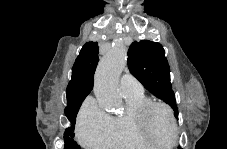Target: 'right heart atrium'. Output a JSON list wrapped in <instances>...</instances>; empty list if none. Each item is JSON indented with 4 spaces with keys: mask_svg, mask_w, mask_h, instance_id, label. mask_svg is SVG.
Masks as SVG:
<instances>
[{
    "mask_svg": "<svg viewBox=\"0 0 227 149\" xmlns=\"http://www.w3.org/2000/svg\"><path fill=\"white\" fill-rule=\"evenodd\" d=\"M111 117L94 98L84 101L76 123L80 143L88 149H100L108 145Z\"/></svg>",
    "mask_w": 227,
    "mask_h": 149,
    "instance_id": "d8ad5b80",
    "label": "right heart atrium"
}]
</instances>
